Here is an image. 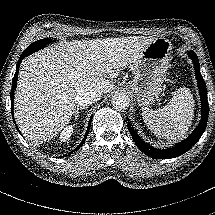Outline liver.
Returning a JSON list of instances; mask_svg holds the SVG:
<instances>
[{"mask_svg":"<svg viewBox=\"0 0 215 215\" xmlns=\"http://www.w3.org/2000/svg\"><path fill=\"white\" fill-rule=\"evenodd\" d=\"M154 37L128 36L60 42L35 52L20 65L14 117L30 145L51 140L76 112L80 90L102 94L133 64Z\"/></svg>","mask_w":215,"mask_h":215,"instance_id":"obj_1","label":"liver"}]
</instances>
